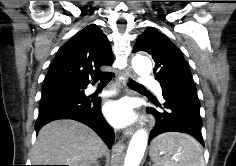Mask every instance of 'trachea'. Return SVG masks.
Returning <instances> with one entry per match:
<instances>
[{"label": "trachea", "instance_id": "trachea-1", "mask_svg": "<svg viewBox=\"0 0 236 166\" xmlns=\"http://www.w3.org/2000/svg\"><path fill=\"white\" fill-rule=\"evenodd\" d=\"M97 79L100 80L99 85L106 86L110 82L111 77L109 75L104 74V75L98 76ZM129 87L131 89H146L144 86L132 80H130L129 82Z\"/></svg>", "mask_w": 236, "mask_h": 166}]
</instances>
